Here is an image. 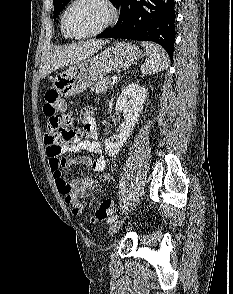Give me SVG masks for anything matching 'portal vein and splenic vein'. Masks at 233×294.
<instances>
[{
    "mask_svg": "<svg viewBox=\"0 0 233 294\" xmlns=\"http://www.w3.org/2000/svg\"><path fill=\"white\" fill-rule=\"evenodd\" d=\"M112 80H113V81H118V77H117V76H113V77H112Z\"/></svg>",
    "mask_w": 233,
    "mask_h": 294,
    "instance_id": "1",
    "label": "portal vein and splenic vein"
}]
</instances>
